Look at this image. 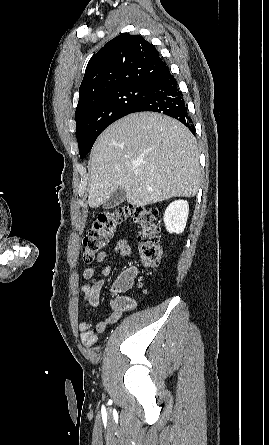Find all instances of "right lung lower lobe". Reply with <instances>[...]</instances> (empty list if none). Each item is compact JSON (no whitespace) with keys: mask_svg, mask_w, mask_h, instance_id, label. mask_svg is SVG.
I'll use <instances>...</instances> for the list:
<instances>
[{"mask_svg":"<svg viewBox=\"0 0 269 445\" xmlns=\"http://www.w3.org/2000/svg\"><path fill=\"white\" fill-rule=\"evenodd\" d=\"M142 111L159 112L173 117L195 134L183 94L168 67L150 84L149 95L142 100L132 113Z\"/></svg>","mask_w":269,"mask_h":445,"instance_id":"1","label":"right lung lower lobe"}]
</instances>
